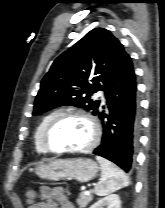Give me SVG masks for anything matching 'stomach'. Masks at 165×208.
Returning a JSON list of instances; mask_svg holds the SVG:
<instances>
[{"instance_id": "0dacf381", "label": "stomach", "mask_w": 165, "mask_h": 208, "mask_svg": "<svg viewBox=\"0 0 165 208\" xmlns=\"http://www.w3.org/2000/svg\"><path fill=\"white\" fill-rule=\"evenodd\" d=\"M98 165L88 158L54 159L38 166L35 173L50 181L76 180L85 183L94 179Z\"/></svg>"}]
</instances>
